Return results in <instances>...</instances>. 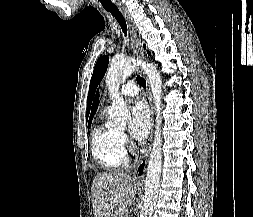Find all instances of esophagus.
<instances>
[{
    "label": "esophagus",
    "instance_id": "esophagus-1",
    "mask_svg": "<svg viewBox=\"0 0 253 217\" xmlns=\"http://www.w3.org/2000/svg\"><path fill=\"white\" fill-rule=\"evenodd\" d=\"M121 12L124 15V17L126 18L128 25H129L133 51L137 57L144 59V52L142 50V43H141V40L138 35L137 27H136L135 23L133 22L132 17L125 9H121ZM141 73L146 80V91H147V97H148L149 106H150L152 130H151V136L149 139V143L142 150L141 160L139 161V163L135 167V170H134L135 179H142L144 177L147 163H148V159H149V155H150V151H151V143H152V137H153V131H154L153 130L154 111H153V105H152V95H151V90H150V83H149V80H148L145 72L143 70H141Z\"/></svg>",
    "mask_w": 253,
    "mask_h": 217
}]
</instances>
